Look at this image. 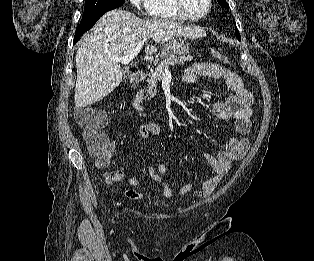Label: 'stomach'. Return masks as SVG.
I'll use <instances>...</instances> for the list:
<instances>
[{
	"label": "stomach",
	"instance_id": "stomach-1",
	"mask_svg": "<svg viewBox=\"0 0 314 261\" xmlns=\"http://www.w3.org/2000/svg\"><path fill=\"white\" fill-rule=\"evenodd\" d=\"M167 46L169 47L167 52L162 51L161 57H164L167 53H173L177 55H185L189 53L190 46L187 41H185L182 38H173L169 40L167 43Z\"/></svg>",
	"mask_w": 314,
	"mask_h": 261
}]
</instances>
